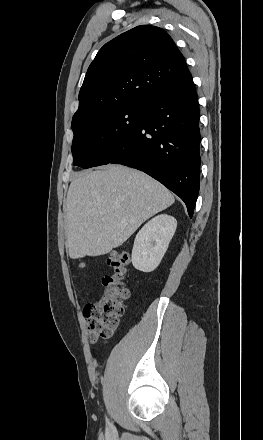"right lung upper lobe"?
Returning <instances> with one entry per match:
<instances>
[{"label": "right lung upper lobe", "instance_id": "cb5924a9", "mask_svg": "<svg viewBox=\"0 0 263 440\" xmlns=\"http://www.w3.org/2000/svg\"><path fill=\"white\" fill-rule=\"evenodd\" d=\"M190 74L184 57L161 28L137 26L106 43L90 64L72 128L119 105L145 102Z\"/></svg>", "mask_w": 263, "mask_h": 440}]
</instances>
